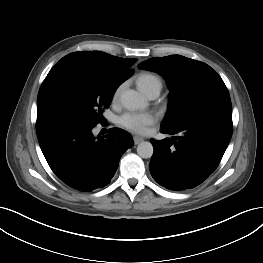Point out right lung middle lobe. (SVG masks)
I'll return each mask as SVG.
<instances>
[{"label": "right lung middle lobe", "instance_id": "obj_1", "mask_svg": "<svg viewBox=\"0 0 263 263\" xmlns=\"http://www.w3.org/2000/svg\"><path fill=\"white\" fill-rule=\"evenodd\" d=\"M128 77L79 61H58L43 81L37 98L40 129L53 124L95 126L103 119L115 90Z\"/></svg>", "mask_w": 263, "mask_h": 263}]
</instances>
